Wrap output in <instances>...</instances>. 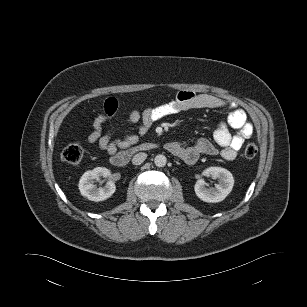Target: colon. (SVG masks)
I'll return each instance as SVG.
<instances>
[{"mask_svg": "<svg viewBox=\"0 0 307 307\" xmlns=\"http://www.w3.org/2000/svg\"><path fill=\"white\" fill-rule=\"evenodd\" d=\"M258 152V147L254 142H248L244 148V155L253 158ZM83 157V149L78 144H69L61 152V159L69 164H78Z\"/></svg>", "mask_w": 307, "mask_h": 307, "instance_id": "5ec220e1", "label": "colon"}]
</instances>
